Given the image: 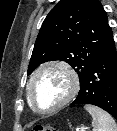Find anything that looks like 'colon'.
I'll return each instance as SVG.
<instances>
[{
    "label": "colon",
    "mask_w": 117,
    "mask_h": 131,
    "mask_svg": "<svg viewBox=\"0 0 117 131\" xmlns=\"http://www.w3.org/2000/svg\"><path fill=\"white\" fill-rule=\"evenodd\" d=\"M30 131H60L58 128L49 125H36Z\"/></svg>",
    "instance_id": "colon-1"
}]
</instances>
